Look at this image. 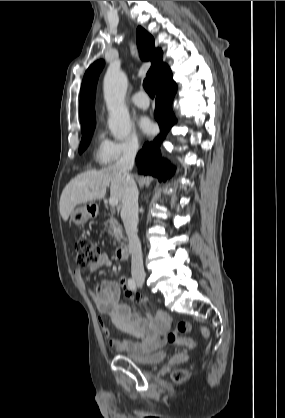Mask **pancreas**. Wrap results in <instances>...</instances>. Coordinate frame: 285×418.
Here are the masks:
<instances>
[{"label": "pancreas", "instance_id": "obj_1", "mask_svg": "<svg viewBox=\"0 0 285 418\" xmlns=\"http://www.w3.org/2000/svg\"><path fill=\"white\" fill-rule=\"evenodd\" d=\"M105 225H109L107 232L110 236L114 237L117 242H121L124 239L122 227L113 216L105 222Z\"/></svg>", "mask_w": 285, "mask_h": 418}]
</instances>
